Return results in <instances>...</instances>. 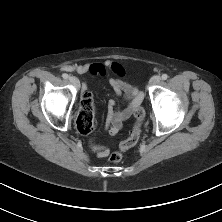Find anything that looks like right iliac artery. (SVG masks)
Masks as SVG:
<instances>
[{
    "label": "right iliac artery",
    "mask_w": 222,
    "mask_h": 222,
    "mask_svg": "<svg viewBox=\"0 0 222 222\" xmlns=\"http://www.w3.org/2000/svg\"><path fill=\"white\" fill-rule=\"evenodd\" d=\"M62 77L64 78V79H68V74H66V73H64L63 75H62Z\"/></svg>",
    "instance_id": "obj_1"
}]
</instances>
